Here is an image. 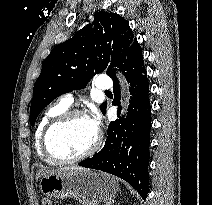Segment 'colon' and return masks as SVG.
Returning <instances> with one entry per match:
<instances>
[{"instance_id": "obj_1", "label": "colon", "mask_w": 212, "mask_h": 205, "mask_svg": "<svg viewBox=\"0 0 212 205\" xmlns=\"http://www.w3.org/2000/svg\"><path fill=\"white\" fill-rule=\"evenodd\" d=\"M41 205H53V203L50 198L44 197L41 201Z\"/></svg>"}]
</instances>
